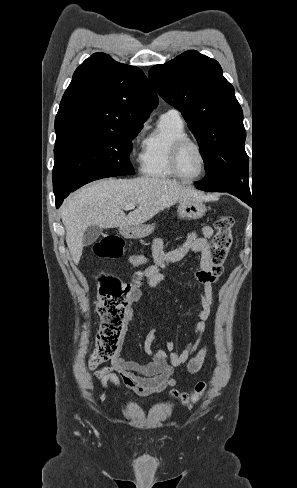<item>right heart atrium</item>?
Masks as SVG:
<instances>
[{"mask_svg": "<svg viewBox=\"0 0 297 488\" xmlns=\"http://www.w3.org/2000/svg\"><path fill=\"white\" fill-rule=\"evenodd\" d=\"M140 132H137L131 141V152L135 153L137 151V145L139 141Z\"/></svg>", "mask_w": 297, "mask_h": 488, "instance_id": "d8ad5b80", "label": "right heart atrium"}]
</instances>
